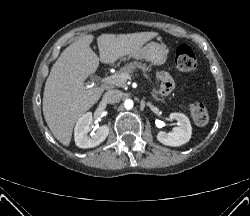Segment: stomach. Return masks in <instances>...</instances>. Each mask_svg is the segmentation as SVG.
I'll return each instance as SVG.
<instances>
[{"label": "stomach", "mask_w": 250, "mask_h": 216, "mask_svg": "<svg viewBox=\"0 0 250 216\" xmlns=\"http://www.w3.org/2000/svg\"><path fill=\"white\" fill-rule=\"evenodd\" d=\"M168 49L156 42H150L142 46L137 51L124 56L123 59H144L154 65H164L168 59Z\"/></svg>", "instance_id": "0dacf381"}]
</instances>
